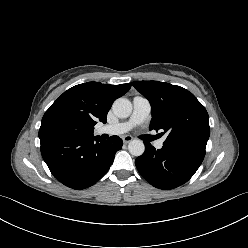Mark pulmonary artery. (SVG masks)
<instances>
[{"mask_svg":"<svg viewBox=\"0 0 248 248\" xmlns=\"http://www.w3.org/2000/svg\"><path fill=\"white\" fill-rule=\"evenodd\" d=\"M151 113V105L148 99L143 96H136L133 99V110L130 118L127 121L105 125L100 128V133L109 135H119L128 132L134 126L146 121ZM164 144V139H159L155 146L161 149Z\"/></svg>","mask_w":248,"mask_h":248,"instance_id":"1","label":"pulmonary artery"}]
</instances>
